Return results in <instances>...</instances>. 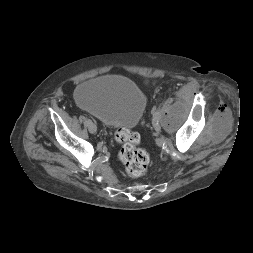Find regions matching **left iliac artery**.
<instances>
[{
	"label": "left iliac artery",
	"instance_id": "1",
	"mask_svg": "<svg viewBox=\"0 0 253 253\" xmlns=\"http://www.w3.org/2000/svg\"><path fill=\"white\" fill-rule=\"evenodd\" d=\"M152 114H153V120H154V121H159V120H160L161 114H160V112L158 111V108H156V107L153 108Z\"/></svg>",
	"mask_w": 253,
	"mask_h": 253
}]
</instances>
